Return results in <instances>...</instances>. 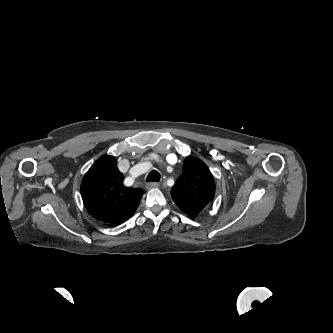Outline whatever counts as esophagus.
Here are the masks:
<instances>
[{"label": "esophagus", "mask_w": 333, "mask_h": 333, "mask_svg": "<svg viewBox=\"0 0 333 333\" xmlns=\"http://www.w3.org/2000/svg\"><path fill=\"white\" fill-rule=\"evenodd\" d=\"M157 187H159V183L158 182H149L146 185L147 189H152V188H157Z\"/></svg>", "instance_id": "34e87169"}]
</instances>
